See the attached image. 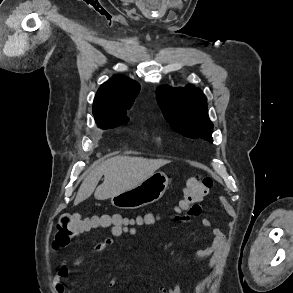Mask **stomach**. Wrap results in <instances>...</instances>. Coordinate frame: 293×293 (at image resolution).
<instances>
[{
    "label": "stomach",
    "mask_w": 293,
    "mask_h": 293,
    "mask_svg": "<svg viewBox=\"0 0 293 293\" xmlns=\"http://www.w3.org/2000/svg\"><path fill=\"white\" fill-rule=\"evenodd\" d=\"M169 179L163 172H156L134 188L111 198L119 209H137L158 201L168 188Z\"/></svg>",
    "instance_id": "obj_1"
}]
</instances>
